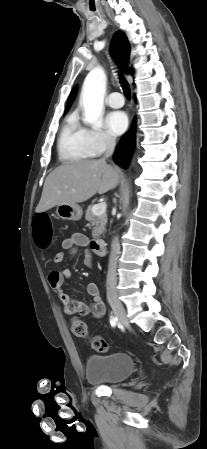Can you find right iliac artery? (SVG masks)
I'll return each instance as SVG.
<instances>
[{"mask_svg": "<svg viewBox=\"0 0 207 449\" xmlns=\"http://www.w3.org/2000/svg\"><path fill=\"white\" fill-rule=\"evenodd\" d=\"M117 321H118V319L116 317H114V316L110 317V324H111L112 327L116 326Z\"/></svg>", "mask_w": 207, "mask_h": 449, "instance_id": "obj_1", "label": "right iliac artery"}]
</instances>
